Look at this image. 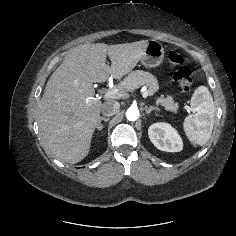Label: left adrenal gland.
Returning a JSON list of instances; mask_svg holds the SVG:
<instances>
[{"mask_svg": "<svg viewBox=\"0 0 236 236\" xmlns=\"http://www.w3.org/2000/svg\"><path fill=\"white\" fill-rule=\"evenodd\" d=\"M153 110L158 111L159 109L157 107H155V106H149V107L146 106L145 107L146 114H150L151 111H153Z\"/></svg>", "mask_w": 236, "mask_h": 236, "instance_id": "a2214340", "label": "left adrenal gland"}]
</instances>
